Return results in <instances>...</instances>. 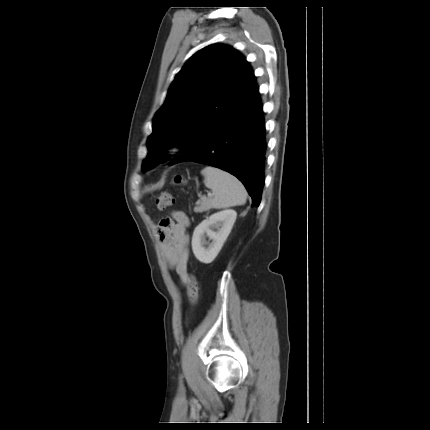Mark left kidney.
I'll list each match as a JSON object with an SVG mask.
<instances>
[{
    "label": "left kidney",
    "instance_id": "1",
    "mask_svg": "<svg viewBox=\"0 0 430 430\" xmlns=\"http://www.w3.org/2000/svg\"><path fill=\"white\" fill-rule=\"evenodd\" d=\"M236 217L235 210L218 211L203 220L195 228L192 236V251L196 259L204 264L214 261L229 236ZM211 227L217 229V231L211 230ZM205 234L212 240L211 243L206 241ZM206 245L207 248H205Z\"/></svg>",
    "mask_w": 430,
    "mask_h": 430
}]
</instances>
